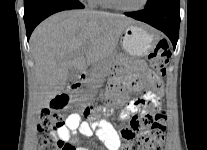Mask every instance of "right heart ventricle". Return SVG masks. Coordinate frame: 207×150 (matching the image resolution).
<instances>
[{
  "mask_svg": "<svg viewBox=\"0 0 207 150\" xmlns=\"http://www.w3.org/2000/svg\"><path fill=\"white\" fill-rule=\"evenodd\" d=\"M91 5L94 7L106 8V9L113 8V5L110 3L109 0H92Z\"/></svg>",
  "mask_w": 207,
  "mask_h": 150,
  "instance_id": "obj_1",
  "label": "right heart ventricle"
}]
</instances>
